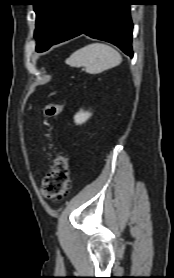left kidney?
<instances>
[{"instance_id": "left-kidney-1", "label": "left kidney", "mask_w": 174, "mask_h": 278, "mask_svg": "<svg viewBox=\"0 0 174 278\" xmlns=\"http://www.w3.org/2000/svg\"><path fill=\"white\" fill-rule=\"evenodd\" d=\"M91 116V113L80 110L75 116L74 121L77 125L85 123Z\"/></svg>"}]
</instances>
